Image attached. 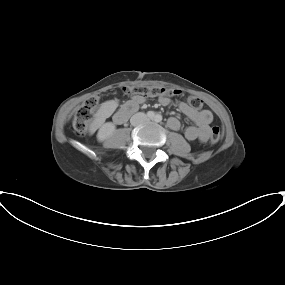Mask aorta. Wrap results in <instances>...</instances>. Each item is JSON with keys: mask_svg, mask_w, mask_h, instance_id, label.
<instances>
[{"mask_svg": "<svg viewBox=\"0 0 285 285\" xmlns=\"http://www.w3.org/2000/svg\"><path fill=\"white\" fill-rule=\"evenodd\" d=\"M161 120H162V116H161V115H157V116L155 117V121L159 122V121H161Z\"/></svg>", "mask_w": 285, "mask_h": 285, "instance_id": "obj_1", "label": "aorta"}]
</instances>
